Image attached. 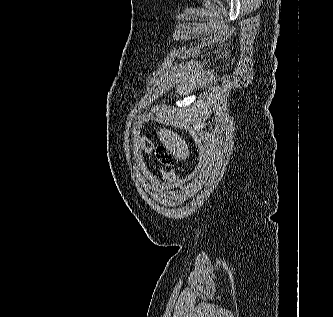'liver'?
I'll list each match as a JSON object with an SVG mask.
<instances>
[{
	"instance_id": "liver-1",
	"label": "liver",
	"mask_w": 333,
	"mask_h": 317,
	"mask_svg": "<svg viewBox=\"0 0 333 317\" xmlns=\"http://www.w3.org/2000/svg\"><path fill=\"white\" fill-rule=\"evenodd\" d=\"M157 135L165 148L175 157L180 160H186L189 157V148L179 134L164 128L158 130Z\"/></svg>"
}]
</instances>
